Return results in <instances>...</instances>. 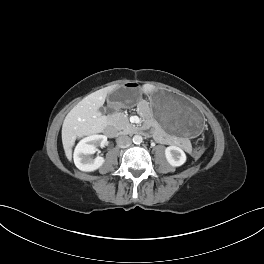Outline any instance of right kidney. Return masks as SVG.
I'll return each mask as SVG.
<instances>
[{
    "label": "right kidney",
    "mask_w": 264,
    "mask_h": 264,
    "mask_svg": "<svg viewBox=\"0 0 264 264\" xmlns=\"http://www.w3.org/2000/svg\"><path fill=\"white\" fill-rule=\"evenodd\" d=\"M107 137L105 135H91L83 138L74 150V163L76 167L84 172H92L100 168L105 159L101 156L92 158L91 155L97 151V146L105 145Z\"/></svg>",
    "instance_id": "obj_1"
}]
</instances>
